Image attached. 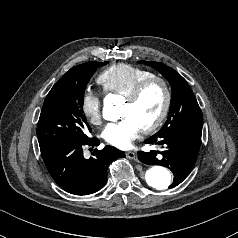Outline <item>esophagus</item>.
I'll return each instance as SVG.
<instances>
[{"mask_svg":"<svg viewBox=\"0 0 238 238\" xmlns=\"http://www.w3.org/2000/svg\"><path fill=\"white\" fill-rule=\"evenodd\" d=\"M126 157L129 158V159H133L135 161H138V157H137V154L135 152H132V151L126 152Z\"/></svg>","mask_w":238,"mask_h":238,"instance_id":"esophagus-1","label":"esophagus"}]
</instances>
